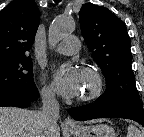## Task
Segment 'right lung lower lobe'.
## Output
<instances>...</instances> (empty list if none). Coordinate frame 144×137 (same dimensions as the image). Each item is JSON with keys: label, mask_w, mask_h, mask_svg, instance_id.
Instances as JSON below:
<instances>
[{"label": "right lung lower lobe", "mask_w": 144, "mask_h": 137, "mask_svg": "<svg viewBox=\"0 0 144 137\" xmlns=\"http://www.w3.org/2000/svg\"><path fill=\"white\" fill-rule=\"evenodd\" d=\"M36 99H29L24 96L13 94V93H3L0 94V107L15 106V107L26 108L30 106L31 101H35Z\"/></svg>", "instance_id": "right-lung-lower-lobe-1"}]
</instances>
